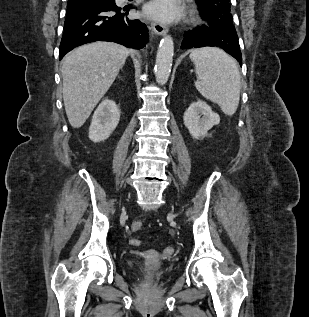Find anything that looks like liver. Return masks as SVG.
<instances>
[{"label": "liver", "instance_id": "liver-1", "mask_svg": "<svg viewBox=\"0 0 309 317\" xmlns=\"http://www.w3.org/2000/svg\"><path fill=\"white\" fill-rule=\"evenodd\" d=\"M130 50L112 42H94L62 60L63 100L69 123L80 128L109 90Z\"/></svg>", "mask_w": 309, "mask_h": 317}]
</instances>
